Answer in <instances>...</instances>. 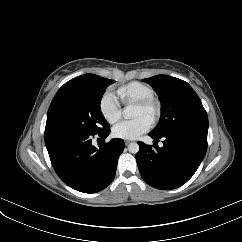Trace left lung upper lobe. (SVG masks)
I'll return each instance as SVG.
<instances>
[{"instance_id": "left-lung-upper-lobe-1", "label": "left lung upper lobe", "mask_w": 242, "mask_h": 242, "mask_svg": "<svg viewBox=\"0 0 242 242\" xmlns=\"http://www.w3.org/2000/svg\"><path fill=\"white\" fill-rule=\"evenodd\" d=\"M143 81L153 87L162 104L160 121L151 134L163 137L185 129L208 130L207 113L187 82L168 75H157Z\"/></svg>"}]
</instances>
